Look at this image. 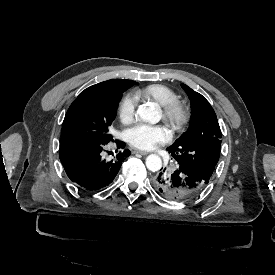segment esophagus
Here are the masks:
<instances>
[{"mask_svg": "<svg viewBox=\"0 0 275 275\" xmlns=\"http://www.w3.org/2000/svg\"><path fill=\"white\" fill-rule=\"evenodd\" d=\"M133 154L147 155L148 152L147 151H143V150H135V151H133Z\"/></svg>", "mask_w": 275, "mask_h": 275, "instance_id": "esophagus-1", "label": "esophagus"}]
</instances>
